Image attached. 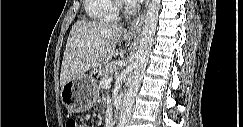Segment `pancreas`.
<instances>
[{
    "label": "pancreas",
    "instance_id": "1",
    "mask_svg": "<svg viewBox=\"0 0 243 127\" xmlns=\"http://www.w3.org/2000/svg\"><path fill=\"white\" fill-rule=\"evenodd\" d=\"M117 70L116 63L107 64L101 71L102 81L111 77V74Z\"/></svg>",
    "mask_w": 243,
    "mask_h": 127
}]
</instances>
